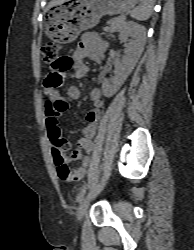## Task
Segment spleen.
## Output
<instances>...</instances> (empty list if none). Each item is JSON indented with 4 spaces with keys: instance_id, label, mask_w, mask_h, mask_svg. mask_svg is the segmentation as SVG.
Instances as JSON below:
<instances>
[{
    "instance_id": "obj_1",
    "label": "spleen",
    "mask_w": 194,
    "mask_h": 250,
    "mask_svg": "<svg viewBox=\"0 0 194 250\" xmlns=\"http://www.w3.org/2000/svg\"><path fill=\"white\" fill-rule=\"evenodd\" d=\"M140 1L141 4L131 11V17L139 21H145L152 14L153 0H140Z\"/></svg>"
}]
</instances>
